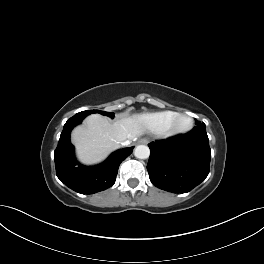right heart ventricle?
<instances>
[{
  "label": "right heart ventricle",
  "mask_w": 264,
  "mask_h": 264,
  "mask_svg": "<svg viewBox=\"0 0 264 264\" xmlns=\"http://www.w3.org/2000/svg\"><path fill=\"white\" fill-rule=\"evenodd\" d=\"M177 113L174 111H161L141 116V121L153 133L164 132Z\"/></svg>",
  "instance_id": "e07e8e85"
}]
</instances>
